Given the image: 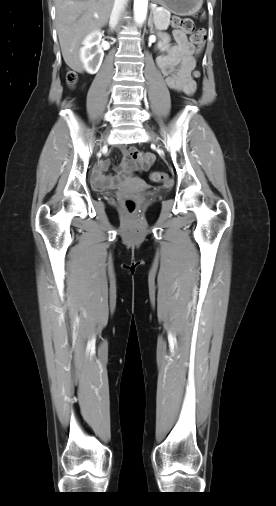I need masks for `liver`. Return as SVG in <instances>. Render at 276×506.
Returning a JSON list of instances; mask_svg holds the SVG:
<instances>
[{
	"label": "liver",
	"instance_id": "liver-1",
	"mask_svg": "<svg viewBox=\"0 0 276 506\" xmlns=\"http://www.w3.org/2000/svg\"><path fill=\"white\" fill-rule=\"evenodd\" d=\"M114 0H56V28L65 63L82 72L80 46L83 38L104 27Z\"/></svg>",
	"mask_w": 276,
	"mask_h": 506
}]
</instances>
